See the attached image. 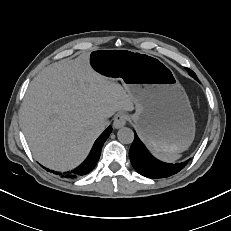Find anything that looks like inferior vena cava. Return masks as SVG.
Returning a JSON list of instances; mask_svg holds the SVG:
<instances>
[{
  "label": "inferior vena cava",
  "mask_w": 231,
  "mask_h": 231,
  "mask_svg": "<svg viewBox=\"0 0 231 231\" xmlns=\"http://www.w3.org/2000/svg\"><path fill=\"white\" fill-rule=\"evenodd\" d=\"M109 125V122L108 121H103L101 123V127L104 129L105 127H107Z\"/></svg>",
  "instance_id": "1"
}]
</instances>
